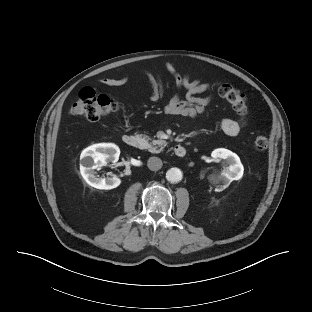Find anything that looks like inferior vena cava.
<instances>
[{
  "instance_id": "602c4592",
  "label": "inferior vena cava",
  "mask_w": 312,
  "mask_h": 312,
  "mask_svg": "<svg viewBox=\"0 0 312 312\" xmlns=\"http://www.w3.org/2000/svg\"><path fill=\"white\" fill-rule=\"evenodd\" d=\"M162 165V160L158 157H150L147 162L148 168L152 171H158Z\"/></svg>"
}]
</instances>
